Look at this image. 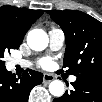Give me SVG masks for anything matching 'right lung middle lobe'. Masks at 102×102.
Instances as JSON below:
<instances>
[{
    "instance_id": "1",
    "label": "right lung middle lobe",
    "mask_w": 102,
    "mask_h": 102,
    "mask_svg": "<svg viewBox=\"0 0 102 102\" xmlns=\"http://www.w3.org/2000/svg\"><path fill=\"white\" fill-rule=\"evenodd\" d=\"M19 46L18 44L0 38V69L5 68V61L2 60L4 53L7 51L10 53V49H18Z\"/></svg>"
}]
</instances>
